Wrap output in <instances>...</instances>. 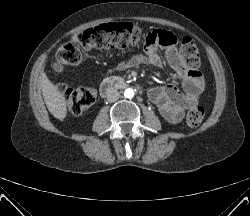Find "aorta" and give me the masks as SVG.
Returning a JSON list of instances; mask_svg holds the SVG:
<instances>
[{
  "label": "aorta",
  "instance_id": "762f6f07",
  "mask_svg": "<svg viewBox=\"0 0 250 216\" xmlns=\"http://www.w3.org/2000/svg\"><path fill=\"white\" fill-rule=\"evenodd\" d=\"M124 96L126 98H129V99L133 98V96H134V90L131 89V88L126 89L125 92H124Z\"/></svg>",
  "mask_w": 250,
  "mask_h": 216
}]
</instances>
